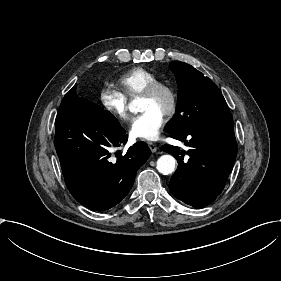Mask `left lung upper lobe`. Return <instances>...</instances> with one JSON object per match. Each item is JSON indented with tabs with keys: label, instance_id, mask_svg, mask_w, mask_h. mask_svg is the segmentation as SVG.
<instances>
[{
	"label": "left lung upper lobe",
	"instance_id": "1",
	"mask_svg": "<svg viewBox=\"0 0 281 281\" xmlns=\"http://www.w3.org/2000/svg\"><path fill=\"white\" fill-rule=\"evenodd\" d=\"M178 84V103L174 117L164 128L180 134L207 125L232 122L227 103L218 87L189 64H170Z\"/></svg>",
	"mask_w": 281,
	"mask_h": 281
}]
</instances>
